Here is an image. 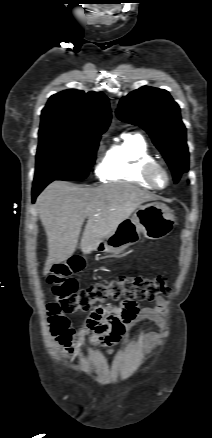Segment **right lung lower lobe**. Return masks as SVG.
<instances>
[{
  "mask_svg": "<svg viewBox=\"0 0 212 438\" xmlns=\"http://www.w3.org/2000/svg\"><path fill=\"white\" fill-rule=\"evenodd\" d=\"M52 181L34 182L32 189V202L34 203L39 193Z\"/></svg>",
  "mask_w": 212,
  "mask_h": 438,
  "instance_id": "obj_1",
  "label": "right lung lower lobe"
}]
</instances>
